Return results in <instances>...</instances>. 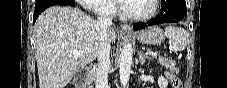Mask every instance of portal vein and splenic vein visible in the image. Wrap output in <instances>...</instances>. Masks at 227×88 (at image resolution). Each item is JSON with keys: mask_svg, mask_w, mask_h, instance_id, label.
<instances>
[{"mask_svg": "<svg viewBox=\"0 0 227 88\" xmlns=\"http://www.w3.org/2000/svg\"><path fill=\"white\" fill-rule=\"evenodd\" d=\"M85 51H88V50H85ZM85 51H84V50H81V51L73 50L72 53H73V55H74V58H78V57L81 56ZM146 54H147V55L154 56V57H157V56H158L157 53L152 52V51H147Z\"/></svg>", "mask_w": 227, "mask_h": 88, "instance_id": "18ae733b", "label": "portal vein and splenic vein"}]
</instances>
